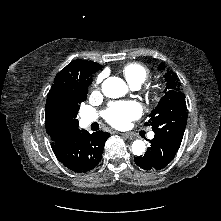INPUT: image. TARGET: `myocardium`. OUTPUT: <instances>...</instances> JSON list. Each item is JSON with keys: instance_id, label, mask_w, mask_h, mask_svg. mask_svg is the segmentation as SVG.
Wrapping results in <instances>:
<instances>
[{"instance_id": "obj_1", "label": "myocardium", "mask_w": 221, "mask_h": 221, "mask_svg": "<svg viewBox=\"0 0 221 221\" xmlns=\"http://www.w3.org/2000/svg\"><path fill=\"white\" fill-rule=\"evenodd\" d=\"M151 96L155 99L159 98L160 96V92L158 89H153L152 92H151Z\"/></svg>"}]
</instances>
